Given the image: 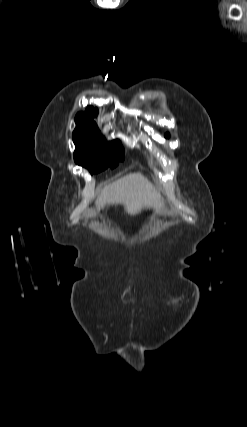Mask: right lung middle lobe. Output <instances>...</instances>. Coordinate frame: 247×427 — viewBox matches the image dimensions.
Listing matches in <instances>:
<instances>
[{
    "label": "right lung middle lobe",
    "mask_w": 247,
    "mask_h": 427,
    "mask_svg": "<svg viewBox=\"0 0 247 427\" xmlns=\"http://www.w3.org/2000/svg\"><path fill=\"white\" fill-rule=\"evenodd\" d=\"M73 142L76 164L87 168L91 174L113 169L125 158L123 146L118 141L106 142L98 129L76 127Z\"/></svg>",
    "instance_id": "1"
}]
</instances>
